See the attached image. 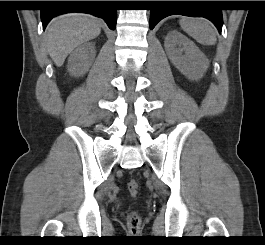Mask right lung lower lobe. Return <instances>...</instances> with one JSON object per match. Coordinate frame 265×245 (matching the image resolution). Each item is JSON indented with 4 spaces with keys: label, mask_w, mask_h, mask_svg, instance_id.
Returning a JSON list of instances; mask_svg holds the SVG:
<instances>
[{
    "label": "right lung lower lobe",
    "mask_w": 265,
    "mask_h": 245,
    "mask_svg": "<svg viewBox=\"0 0 265 245\" xmlns=\"http://www.w3.org/2000/svg\"><path fill=\"white\" fill-rule=\"evenodd\" d=\"M51 4L57 7L41 10L43 29H45L48 22L54 16L67 12L90 13L103 18L111 30H114L116 27L117 10L115 9L114 1H79L73 3L68 1H54Z\"/></svg>",
    "instance_id": "1"
}]
</instances>
